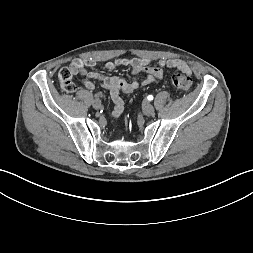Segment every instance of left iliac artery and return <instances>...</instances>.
<instances>
[{
    "mask_svg": "<svg viewBox=\"0 0 253 253\" xmlns=\"http://www.w3.org/2000/svg\"><path fill=\"white\" fill-rule=\"evenodd\" d=\"M147 99H148L149 101H151V100H153V96H152V95H149V96L147 97Z\"/></svg>",
    "mask_w": 253,
    "mask_h": 253,
    "instance_id": "left-iliac-artery-1",
    "label": "left iliac artery"
}]
</instances>
